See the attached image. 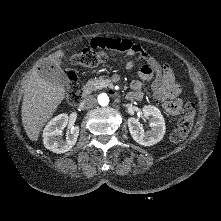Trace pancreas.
Returning a JSON list of instances; mask_svg holds the SVG:
<instances>
[{"label": "pancreas", "instance_id": "cf45deb5", "mask_svg": "<svg viewBox=\"0 0 221 221\" xmlns=\"http://www.w3.org/2000/svg\"><path fill=\"white\" fill-rule=\"evenodd\" d=\"M112 86H113L112 81L106 76H102L97 79H90L87 82L85 88L89 89V91H95L98 89L112 87Z\"/></svg>", "mask_w": 221, "mask_h": 221}]
</instances>
